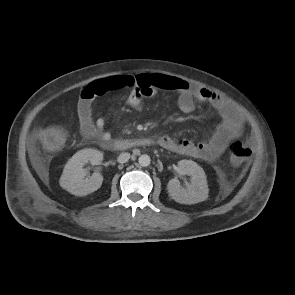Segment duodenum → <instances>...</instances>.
Returning <instances> with one entry per match:
<instances>
[{
    "label": "duodenum",
    "mask_w": 295,
    "mask_h": 295,
    "mask_svg": "<svg viewBox=\"0 0 295 295\" xmlns=\"http://www.w3.org/2000/svg\"><path fill=\"white\" fill-rule=\"evenodd\" d=\"M152 141L147 138L143 139H125V140H109L102 143V147L109 151L128 150L141 146H149Z\"/></svg>",
    "instance_id": "410a0bca"
}]
</instances>
